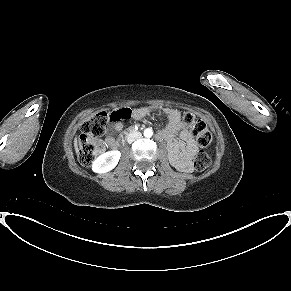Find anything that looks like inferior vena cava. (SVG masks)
<instances>
[{"instance_id":"inferior-vena-cava-1","label":"inferior vena cava","mask_w":291,"mask_h":291,"mask_svg":"<svg viewBox=\"0 0 291 291\" xmlns=\"http://www.w3.org/2000/svg\"><path fill=\"white\" fill-rule=\"evenodd\" d=\"M141 136H142V134H141L140 132H137V131L132 132V133H130V134L128 135V137H127V141H128V143H132V142H134L135 140L141 138Z\"/></svg>"}]
</instances>
